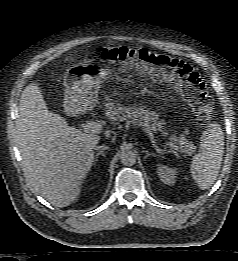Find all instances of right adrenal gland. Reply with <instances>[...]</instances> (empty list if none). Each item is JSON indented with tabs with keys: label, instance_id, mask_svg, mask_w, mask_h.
I'll return each instance as SVG.
<instances>
[{
	"label": "right adrenal gland",
	"instance_id": "obj_1",
	"mask_svg": "<svg viewBox=\"0 0 238 261\" xmlns=\"http://www.w3.org/2000/svg\"><path fill=\"white\" fill-rule=\"evenodd\" d=\"M107 149H108V147L101 146V150L95 155L94 164H96L98 156L102 155L103 157H105L104 150H107Z\"/></svg>",
	"mask_w": 238,
	"mask_h": 261
}]
</instances>
